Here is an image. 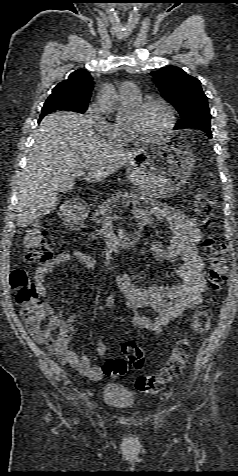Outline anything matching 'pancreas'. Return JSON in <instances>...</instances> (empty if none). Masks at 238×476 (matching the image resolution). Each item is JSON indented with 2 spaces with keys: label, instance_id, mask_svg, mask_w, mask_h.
Here are the masks:
<instances>
[{
  "label": "pancreas",
  "instance_id": "1",
  "mask_svg": "<svg viewBox=\"0 0 238 476\" xmlns=\"http://www.w3.org/2000/svg\"><path fill=\"white\" fill-rule=\"evenodd\" d=\"M153 202L154 200L147 198L140 193L119 191L98 206L92 214V221L97 225L103 223L106 216L119 209V205L128 207L132 204L134 207H146Z\"/></svg>",
  "mask_w": 238,
  "mask_h": 476
}]
</instances>
